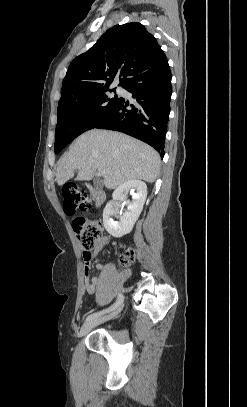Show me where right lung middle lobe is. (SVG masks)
I'll list each match as a JSON object with an SVG mask.
<instances>
[{
    "label": "right lung middle lobe",
    "mask_w": 247,
    "mask_h": 407,
    "mask_svg": "<svg viewBox=\"0 0 247 407\" xmlns=\"http://www.w3.org/2000/svg\"><path fill=\"white\" fill-rule=\"evenodd\" d=\"M108 88L88 97L73 100L58 106V122L55 134V153L83 132L93 129L111 114L122 98L109 97ZM110 91H116L112 89Z\"/></svg>",
    "instance_id": "1"
}]
</instances>
